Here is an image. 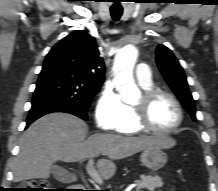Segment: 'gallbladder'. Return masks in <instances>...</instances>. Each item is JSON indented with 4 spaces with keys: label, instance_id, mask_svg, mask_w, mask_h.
Here are the masks:
<instances>
[{
    "label": "gallbladder",
    "instance_id": "obj_1",
    "mask_svg": "<svg viewBox=\"0 0 218 191\" xmlns=\"http://www.w3.org/2000/svg\"><path fill=\"white\" fill-rule=\"evenodd\" d=\"M52 173H53V176H54L57 180H61L63 174H68V172L65 171L63 168H60V167H57V166H55V167L52 168Z\"/></svg>",
    "mask_w": 218,
    "mask_h": 191
}]
</instances>
